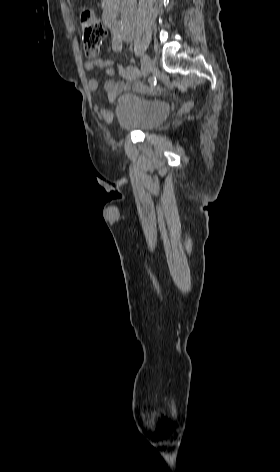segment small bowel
Returning <instances> with one entry per match:
<instances>
[{"label":"small bowel","instance_id":"1","mask_svg":"<svg viewBox=\"0 0 280 472\" xmlns=\"http://www.w3.org/2000/svg\"><path fill=\"white\" fill-rule=\"evenodd\" d=\"M96 68H102L106 70V74L112 77L115 74L114 62L111 59H104L101 57L93 58L84 63V70L86 72H94ZM120 74L123 77L122 81L108 80L106 81L104 88L108 99L113 102L117 95L122 91L130 88L135 83V78L127 71V69L120 68ZM99 83L97 79L90 78L88 81V88L91 92H96ZM101 116L105 121L111 119V111L105 107L101 108Z\"/></svg>","mask_w":280,"mask_h":472}]
</instances>
